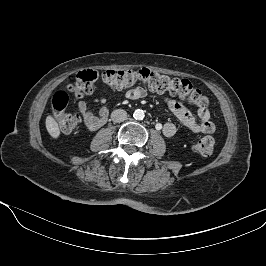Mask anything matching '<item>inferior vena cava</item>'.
<instances>
[{
  "label": "inferior vena cava",
  "instance_id": "1",
  "mask_svg": "<svg viewBox=\"0 0 266 266\" xmlns=\"http://www.w3.org/2000/svg\"><path fill=\"white\" fill-rule=\"evenodd\" d=\"M111 119L115 123L122 122L127 119V112L123 109H116L111 113Z\"/></svg>",
  "mask_w": 266,
  "mask_h": 266
}]
</instances>
